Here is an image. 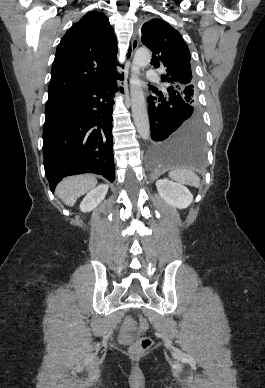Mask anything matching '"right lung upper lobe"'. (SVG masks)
I'll return each instance as SVG.
<instances>
[{
    "label": "right lung upper lobe",
    "instance_id": "1",
    "mask_svg": "<svg viewBox=\"0 0 265 388\" xmlns=\"http://www.w3.org/2000/svg\"><path fill=\"white\" fill-rule=\"evenodd\" d=\"M117 51V39L105 14L98 11L85 14L57 47L48 100L115 76Z\"/></svg>",
    "mask_w": 265,
    "mask_h": 388
}]
</instances>
